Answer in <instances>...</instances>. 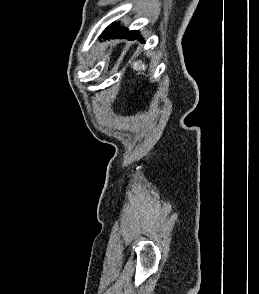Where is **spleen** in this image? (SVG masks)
Masks as SVG:
<instances>
[{
    "mask_svg": "<svg viewBox=\"0 0 259 294\" xmlns=\"http://www.w3.org/2000/svg\"><path fill=\"white\" fill-rule=\"evenodd\" d=\"M132 67H133V69L136 70V71H141V70H145V69H146L145 64H142L141 61H139V62H134Z\"/></svg>",
    "mask_w": 259,
    "mask_h": 294,
    "instance_id": "obj_1",
    "label": "spleen"
}]
</instances>
